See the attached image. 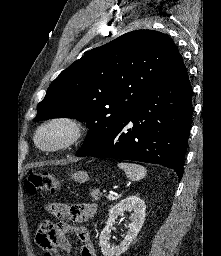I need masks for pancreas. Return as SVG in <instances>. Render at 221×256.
<instances>
[{"instance_id": "obj_1", "label": "pancreas", "mask_w": 221, "mask_h": 256, "mask_svg": "<svg viewBox=\"0 0 221 256\" xmlns=\"http://www.w3.org/2000/svg\"><path fill=\"white\" fill-rule=\"evenodd\" d=\"M90 195L93 200L98 201V200H100L102 193H100V191L98 189H94L91 191Z\"/></svg>"}]
</instances>
